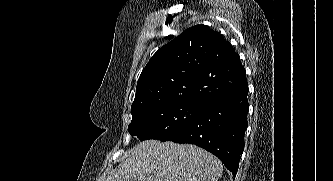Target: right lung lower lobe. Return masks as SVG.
<instances>
[{"label":"right lung lower lobe","instance_id":"98d812e1","mask_svg":"<svg viewBox=\"0 0 333 181\" xmlns=\"http://www.w3.org/2000/svg\"><path fill=\"white\" fill-rule=\"evenodd\" d=\"M248 90L247 86L206 102L197 117L169 140L206 149L216 155L235 177L248 124Z\"/></svg>","mask_w":333,"mask_h":181}]
</instances>
